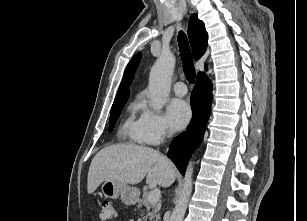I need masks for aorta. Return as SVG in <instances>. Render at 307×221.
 <instances>
[{"instance_id":"obj_1","label":"aorta","mask_w":307,"mask_h":221,"mask_svg":"<svg viewBox=\"0 0 307 221\" xmlns=\"http://www.w3.org/2000/svg\"><path fill=\"white\" fill-rule=\"evenodd\" d=\"M175 68V57L170 51H163L151 68L149 76L150 107L160 110L166 103L170 89L171 78ZM193 164L189 162L182 189L176 201L169 221H183L192 192Z\"/></svg>"}]
</instances>
